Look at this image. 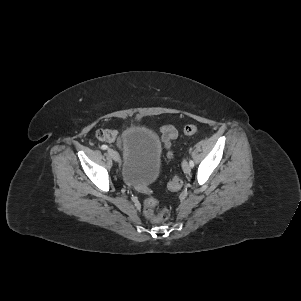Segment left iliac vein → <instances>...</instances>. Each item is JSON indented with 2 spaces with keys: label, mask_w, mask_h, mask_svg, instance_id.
Instances as JSON below:
<instances>
[{
  "label": "left iliac vein",
  "mask_w": 301,
  "mask_h": 301,
  "mask_svg": "<svg viewBox=\"0 0 301 301\" xmlns=\"http://www.w3.org/2000/svg\"><path fill=\"white\" fill-rule=\"evenodd\" d=\"M182 168L186 174L190 173V171H191V166L189 165V163L186 160L183 161Z\"/></svg>",
  "instance_id": "1"
}]
</instances>
